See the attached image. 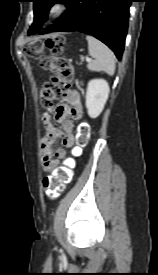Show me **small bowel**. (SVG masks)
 I'll list each match as a JSON object with an SVG mask.
<instances>
[{
    "label": "small bowel",
    "mask_w": 158,
    "mask_h": 275,
    "mask_svg": "<svg viewBox=\"0 0 158 275\" xmlns=\"http://www.w3.org/2000/svg\"><path fill=\"white\" fill-rule=\"evenodd\" d=\"M66 103L58 105L56 108L47 109L42 115V121L46 133L40 140V154L42 168L45 171L52 170L60 160L67 156L64 148L54 149L53 144L58 138L62 139L64 147L69 148L74 145L73 134L74 120L82 117L81 97L77 90H69L65 95ZM55 119L62 125V130L56 129L52 120Z\"/></svg>",
    "instance_id": "obj_1"
}]
</instances>
